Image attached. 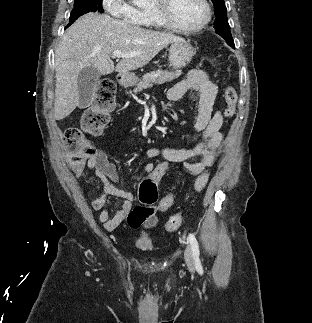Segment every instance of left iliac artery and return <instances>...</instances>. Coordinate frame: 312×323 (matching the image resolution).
Wrapping results in <instances>:
<instances>
[{"label": "left iliac artery", "instance_id": "44dca946", "mask_svg": "<svg viewBox=\"0 0 312 323\" xmlns=\"http://www.w3.org/2000/svg\"><path fill=\"white\" fill-rule=\"evenodd\" d=\"M190 245L192 247V251H193V256L196 260V267H200L201 268V263L199 261V245H198V241L196 239V237L193 234H189L188 236Z\"/></svg>", "mask_w": 312, "mask_h": 323}]
</instances>
